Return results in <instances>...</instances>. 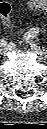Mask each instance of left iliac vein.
I'll list each match as a JSON object with an SVG mask.
<instances>
[{"mask_svg": "<svg viewBox=\"0 0 47 129\" xmlns=\"http://www.w3.org/2000/svg\"><path fill=\"white\" fill-rule=\"evenodd\" d=\"M30 47L33 51H35L42 59L46 58V52L43 48L35 45L34 43H30Z\"/></svg>", "mask_w": 47, "mask_h": 129, "instance_id": "1", "label": "left iliac vein"}]
</instances>
